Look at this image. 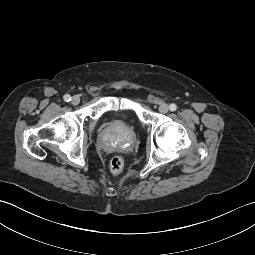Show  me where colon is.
I'll return each mask as SVG.
<instances>
[{
  "instance_id": "obj_1",
  "label": "colon",
  "mask_w": 255,
  "mask_h": 255,
  "mask_svg": "<svg viewBox=\"0 0 255 255\" xmlns=\"http://www.w3.org/2000/svg\"><path fill=\"white\" fill-rule=\"evenodd\" d=\"M124 165V159L119 155H115L110 159L109 170L113 175H119L122 173Z\"/></svg>"
}]
</instances>
